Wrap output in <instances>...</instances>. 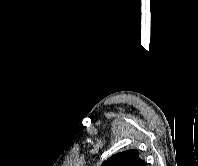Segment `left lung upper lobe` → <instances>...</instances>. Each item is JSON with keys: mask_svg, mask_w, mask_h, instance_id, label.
Instances as JSON below:
<instances>
[{"mask_svg": "<svg viewBox=\"0 0 198 166\" xmlns=\"http://www.w3.org/2000/svg\"><path fill=\"white\" fill-rule=\"evenodd\" d=\"M102 166H146L136 149L126 150L109 158Z\"/></svg>", "mask_w": 198, "mask_h": 166, "instance_id": "left-lung-upper-lobe-1", "label": "left lung upper lobe"}]
</instances>
